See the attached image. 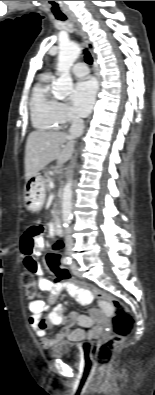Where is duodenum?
<instances>
[{"label": "duodenum", "instance_id": "1", "mask_svg": "<svg viewBox=\"0 0 155 395\" xmlns=\"http://www.w3.org/2000/svg\"><path fill=\"white\" fill-rule=\"evenodd\" d=\"M53 229L57 235L59 236L63 235L62 223L59 216H55L53 219Z\"/></svg>", "mask_w": 155, "mask_h": 395}]
</instances>
